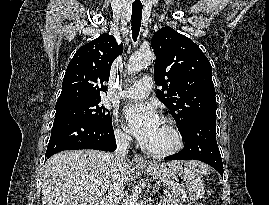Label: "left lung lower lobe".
I'll return each mask as SVG.
<instances>
[{
	"mask_svg": "<svg viewBox=\"0 0 269 205\" xmlns=\"http://www.w3.org/2000/svg\"><path fill=\"white\" fill-rule=\"evenodd\" d=\"M181 135L185 141L183 150L164 159L200 160L212 166L223 177V163L216 142V118L195 121Z\"/></svg>",
	"mask_w": 269,
	"mask_h": 205,
	"instance_id": "left-lung-lower-lobe-1",
	"label": "left lung lower lobe"
}]
</instances>
